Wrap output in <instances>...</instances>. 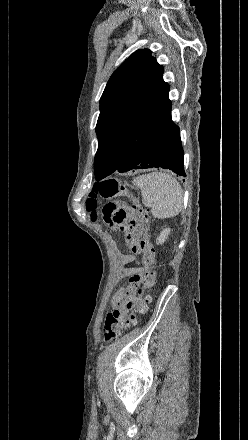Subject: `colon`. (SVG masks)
Wrapping results in <instances>:
<instances>
[{"mask_svg": "<svg viewBox=\"0 0 248 440\" xmlns=\"http://www.w3.org/2000/svg\"><path fill=\"white\" fill-rule=\"evenodd\" d=\"M118 195L131 197V206L119 207V205L113 201ZM99 200L106 201L102 208V214L104 221L109 225L116 227L122 232H126L132 223H139L147 227L149 215L139 197L117 179L110 178L94 185L86 200V208L92 215L96 213ZM138 247L143 255V271L140 275L131 277L129 284L134 289H137L141 301L127 319H122L118 310H114L107 315L103 329L104 339L107 342L118 339L124 330L135 326L137 324V315L143 314L147 310L148 303L151 299L146 291L153 287L156 282L154 266L155 249L147 234L141 239ZM128 304L130 305L131 302Z\"/></svg>", "mask_w": 248, "mask_h": 440, "instance_id": "obj_1", "label": "colon"}]
</instances>
